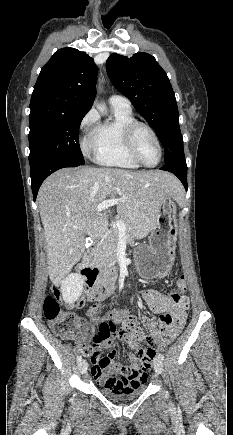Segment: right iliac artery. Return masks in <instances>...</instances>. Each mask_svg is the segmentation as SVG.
I'll use <instances>...</instances> for the list:
<instances>
[{"label": "right iliac artery", "mask_w": 233, "mask_h": 435, "mask_svg": "<svg viewBox=\"0 0 233 435\" xmlns=\"http://www.w3.org/2000/svg\"><path fill=\"white\" fill-rule=\"evenodd\" d=\"M77 362H80L82 360V357L80 355L77 356Z\"/></svg>", "instance_id": "obj_1"}]
</instances>
